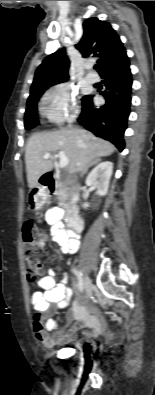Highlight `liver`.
Segmentation results:
<instances>
[{"label": "liver", "instance_id": "6515ba94", "mask_svg": "<svg viewBox=\"0 0 155 395\" xmlns=\"http://www.w3.org/2000/svg\"><path fill=\"white\" fill-rule=\"evenodd\" d=\"M57 151L65 153L69 159V171L74 173L83 172L95 160L111 155L115 147L93 133L73 126L45 134H34L29 138L25 152L30 189L38 185L42 175L52 170ZM45 153L52 155L49 159H44Z\"/></svg>", "mask_w": 155, "mask_h": 395}]
</instances>
